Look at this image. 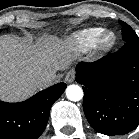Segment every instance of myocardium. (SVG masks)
Returning <instances> with one entry per match:
<instances>
[{"mask_svg": "<svg viewBox=\"0 0 139 139\" xmlns=\"http://www.w3.org/2000/svg\"><path fill=\"white\" fill-rule=\"evenodd\" d=\"M118 36L113 30H103L97 38L94 48L100 53L111 51L117 44Z\"/></svg>", "mask_w": 139, "mask_h": 139, "instance_id": "f54148a6", "label": "myocardium"}]
</instances>
